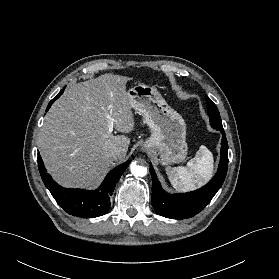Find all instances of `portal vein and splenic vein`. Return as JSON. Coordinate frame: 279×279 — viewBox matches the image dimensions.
Wrapping results in <instances>:
<instances>
[{
  "instance_id": "1",
  "label": "portal vein and splenic vein",
  "mask_w": 279,
  "mask_h": 279,
  "mask_svg": "<svg viewBox=\"0 0 279 279\" xmlns=\"http://www.w3.org/2000/svg\"><path fill=\"white\" fill-rule=\"evenodd\" d=\"M107 119H108V121H107L108 122V131H109V133H112L115 120L110 115H107Z\"/></svg>"
}]
</instances>
